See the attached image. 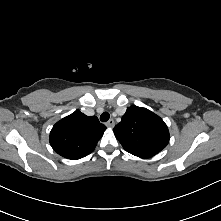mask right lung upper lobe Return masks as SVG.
I'll list each match as a JSON object with an SVG mask.
<instances>
[{
    "label": "right lung upper lobe",
    "mask_w": 221,
    "mask_h": 221,
    "mask_svg": "<svg viewBox=\"0 0 221 221\" xmlns=\"http://www.w3.org/2000/svg\"><path fill=\"white\" fill-rule=\"evenodd\" d=\"M105 129L96 116L89 117L75 111L53 126L49 140L59 155L77 160L95 149Z\"/></svg>",
    "instance_id": "obj_1"
}]
</instances>
